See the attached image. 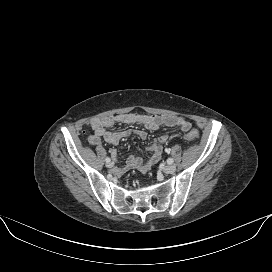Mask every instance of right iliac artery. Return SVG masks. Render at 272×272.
I'll list each match as a JSON object with an SVG mask.
<instances>
[{"label":"right iliac artery","mask_w":272,"mask_h":272,"mask_svg":"<svg viewBox=\"0 0 272 272\" xmlns=\"http://www.w3.org/2000/svg\"><path fill=\"white\" fill-rule=\"evenodd\" d=\"M105 161H106V162H110L111 159H110L109 157H106Z\"/></svg>","instance_id":"right-iliac-artery-1"}]
</instances>
